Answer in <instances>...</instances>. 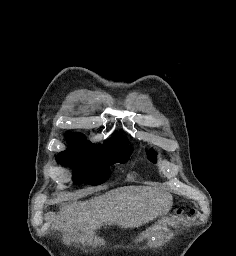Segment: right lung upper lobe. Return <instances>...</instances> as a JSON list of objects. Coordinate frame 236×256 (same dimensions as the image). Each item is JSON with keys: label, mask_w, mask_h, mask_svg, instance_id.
<instances>
[{"label": "right lung upper lobe", "mask_w": 236, "mask_h": 256, "mask_svg": "<svg viewBox=\"0 0 236 256\" xmlns=\"http://www.w3.org/2000/svg\"><path fill=\"white\" fill-rule=\"evenodd\" d=\"M67 136H73V137H78V138L84 139V137L81 134H76V133H70ZM106 142H126V143H128V140H127V138L122 137V136H114L112 138H109Z\"/></svg>", "instance_id": "obj_1"}]
</instances>
